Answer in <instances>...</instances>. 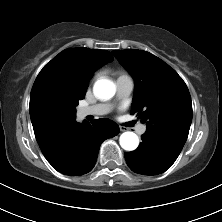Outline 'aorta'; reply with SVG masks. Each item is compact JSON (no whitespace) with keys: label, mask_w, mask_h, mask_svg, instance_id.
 <instances>
[{"label":"aorta","mask_w":222,"mask_h":222,"mask_svg":"<svg viewBox=\"0 0 222 222\" xmlns=\"http://www.w3.org/2000/svg\"><path fill=\"white\" fill-rule=\"evenodd\" d=\"M95 96L102 100L110 99L116 92L115 84L107 79L97 80L93 87ZM120 145L124 150L133 151L138 147L139 139L134 132H124L120 136Z\"/></svg>","instance_id":"1"}]
</instances>
